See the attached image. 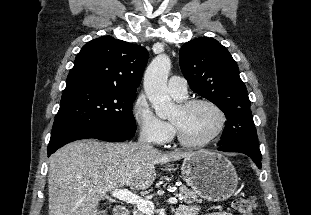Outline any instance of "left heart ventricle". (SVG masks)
I'll return each instance as SVG.
<instances>
[{"label": "left heart ventricle", "instance_id": "1", "mask_svg": "<svg viewBox=\"0 0 311 215\" xmlns=\"http://www.w3.org/2000/svg\"><path fill=\"white\" fill-rule=\"evenodd\" d=\"M170 120L179 127L187 140L199 142L208 138L216 130L219 116L210 106L199 104L186 111L177 106Z\"/></svg>", "mask_w": 311, "mask_h": 215}]
</instances>
